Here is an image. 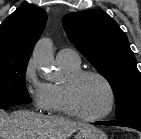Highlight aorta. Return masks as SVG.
I'll list each match as a JSON object with an SVG mask.
<instances>
[{"instance_id": "obj_1", "label": "aorta", "mask_w": 141, "mask_h": 139, "mask_svg": "<svg viewBox=\"0 0 141 139\" xmlns=\"http://www.w3.org/2000/svg\"><path fill=\"white\" fill-rule=\"evenodd\" d=\"M32 57L36 67L43 72L47 79H51V70L54 64L52 41L49 38H41L34 47Z\"/></svg>"}]
</instances>
